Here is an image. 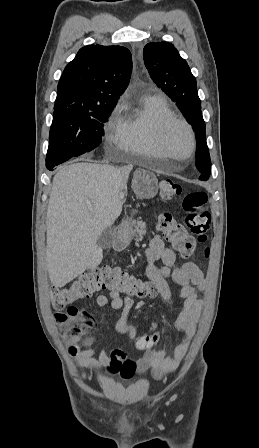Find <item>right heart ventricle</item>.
<instances>
[{
	"label": "right heart ventricle",
	"instance_id": "obj_1",
	"mask_svg": "<svg viewBox=\"0 0 259 448\" xmlns=\"http://www.w3.org/2000/svg\"><path fill=\"white\" fill-rule=\"evenodd\" d=\"M173 115L166 97L157 90L140 94L132 103L122 101L115 114L122 148L127 152L122 162L143 163L141 157L147 150L159 149L156 140L159 124Z\"/></svg>",
	"mask_w": 259,
	"mask_h": 448
}]
</instances>
